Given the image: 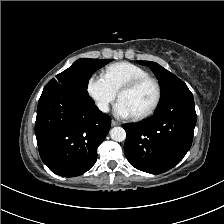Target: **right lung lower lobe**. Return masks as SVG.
<instances>
[{"label":"right lung lower lobe","instance_id":"right-lung-lower-lobe-1","mask_svg":"<svg viewBox=\"0 0 224 224\" xmlns=\"http://www.w3.org/2000/svg\"><path fill=\"white\" fill-rule=\"evenodd\" d=\"M110 126V117L94 105L89 95L45 86L35 122L41 159L57 175H81L95 164L97 147Z\"/></svg>","mask_w":224,"mask_h":224}]
</instances>
